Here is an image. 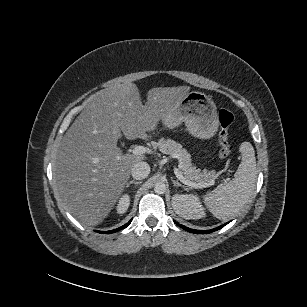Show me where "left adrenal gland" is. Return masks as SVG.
Listing matches in <instances>:
<instances>
[{"mask_svg":"<svg viewBox=\"0 0 307 307\" xmlns=\"http://www.w3.org/2000/svg\"><path fill=\"white\" fill-rule=\"evenodd\" d=\"M172 182H173V184H174L175 186H184V187H186L185 184L180 183L178 180H172Z\"/></svg>","mask_w":307,"mask_h":307,"instance_id":"obj_1","label":"left adrenal gland"}]
</instances>
